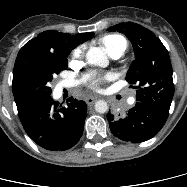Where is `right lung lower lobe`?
Masks as SVG:
<instances>
[{
    "label": "right lung lower lobe",
    "mask_w": 187,
    "mask_h": 187,
    "mask_svg": "<svg viewBox=\"0 0 187 187\" xmlns=\"http://www.w3.org/2000/svg\"><path fill=\"white\" fill-rule=\"evenodd\" d=\"M62 106L51 96L17 106L20 121L28 136L39 146L51 151H64L81 138L87 105L70 97Z\"/></svg>",
    "instance_id": "right-lung-lower-lobe-1"
}]
</instances>
